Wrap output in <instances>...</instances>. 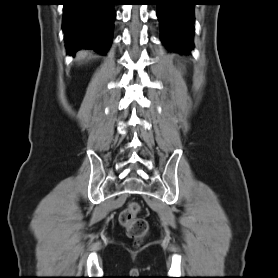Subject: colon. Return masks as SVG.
<instances>
[{
  "label": "colon",
  "instance_id": "1",
  "mask_svg": "<svg viewBox=\"0 0 278 278\" xmlns=\"http://www.w3.org/2000/svg\"><path fill=\"white\" fill-rule=\"evenodd\" d=\"M139 212L140 205L132 201L120 214V222L128 235L137 239L144 237L149 228L147 221L138 217Z\"/></svg>",
  "mask_w": 278,
  "mask_h": 278
}]
</instances>
